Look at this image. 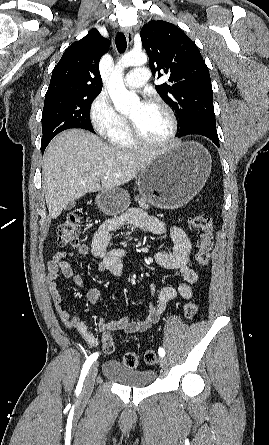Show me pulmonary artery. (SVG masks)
Returning <instances> with one entry per match:
<instances>
[{
    "mask_svg": "<svg viewBox=\"0 0 269 445\" xmlns=\"http://www.w3.org/2000/svg\"><path fill=\"white\" fill-rule=\"evenodd\" d=\"M150 78V71L146 67H137L129 71L125 78L124 83L129 88H138L143 86Z\"/></svg>",
    "mask_w": 269,
    "mask_h": 445,
    "instance_id": "e3ab8cb5",
    "label": "pulmonary artery"
}]
</instances>
